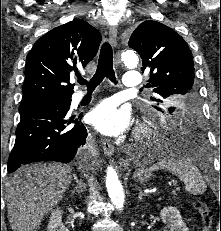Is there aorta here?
<instances>
[{"mask_svg":"<svg viewBox=\"0 0 221 231\" xmlns=\"http://www.w3.org/2000/svg\"><path fill=\"white\" fill-rule=\"evenodd\" d=\"M121 61L125 66L132 68L138 64L139 59L134 50L125 49L121 54ZM106 188L113 205L121 210L125 202V194L117 172L111 165L107 168Z\"/></svg>","mask_w":221,"mask_h":231,"instance_id":"762f6f07","label":"aorta"}]
</instances>
